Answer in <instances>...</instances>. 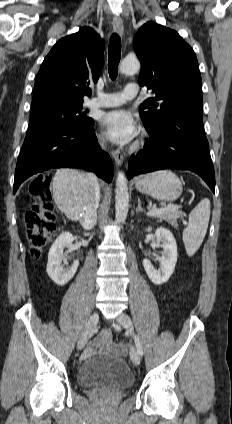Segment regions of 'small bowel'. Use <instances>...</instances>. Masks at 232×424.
Segmentation results:
<instances>
[{
	"label": "small bowel",
	"mask_w": 232,
	"mask_h": 424,
	"mask_svg": "<svg viewBox=\"0 0 232 424\" xmlns=\"http://www.w3.org/2000/svg\"><path fill=\"white\" fill-rule=\"evenodd\" d=\"M116 353L124 355L116 342H113L112 335L109 330H103L94 340L92 346L88 347L84 354V358H90L98 354Z\"/></svg>",
	"instance_id": "1"
}]
</instances>
